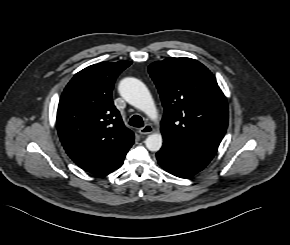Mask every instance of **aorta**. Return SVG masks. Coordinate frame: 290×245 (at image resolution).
Instances as JSON below:
<instances>
[{
    "label": "aorta",
    "mask_w": 290,
    "mask_h": 245,
    "mask_svg": "<svg viewBox=\"0 0 290 245\" xmlns=\"http://www.w3.org/2000/svg\"><path fill=\"white\" fill-rule=\"evenodd\" d=\"M121 96L132 106L143 111L150 119L157 117V109L154 100L144 83L136 78L123 79L118 87ZM163 137L161 133H153L145 140L149 151L157 152L161 149Z\"/></svg>",
    "instance_id": "obj_1"
}]
</instances>
